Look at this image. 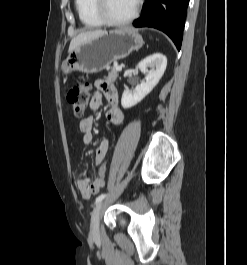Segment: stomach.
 <instances>
[{"label":"stomach","instance_id":"stomach-1","mask_svg":"<svg viewBox=\"0 0 247 265\" xmlns=\"http://www.w3.org/2000/svg\"><path fill=\"white\" fill-rule=\"evenodd\" d=\"M141 35L134 29L123 27L105 31L102 35L85 41L69 52L61 65L64 75L73 71L98 73L117 60L127 57L143 45Z\"/></svg>","mask_w":247,"mask_h":265}]
</instances>
